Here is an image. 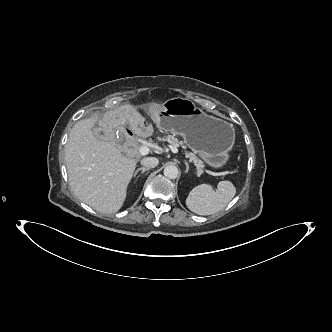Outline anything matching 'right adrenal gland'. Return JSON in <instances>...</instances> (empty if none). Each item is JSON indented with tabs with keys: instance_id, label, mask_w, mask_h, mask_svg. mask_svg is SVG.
<instances>
[{
	"instance_id": "2a0ac1e0",
	"label": "right adrenal gland",
	"mask_w": 332,
	"mask_h": 332,
	"mask_svg": "<svg viewBox=\"0 0 332 332\" xmlns=\"http://www.w3.org/2000/svg\"><path fill=\"white\" fill-rule=\"evenodd\" d=\"M149 170H150V168H146V167L138 168V169L135 171V173H134V177L137 175V173H138L139 171H141V173H144V172L149 171Z\"/></svg>"
}]
</instances>
